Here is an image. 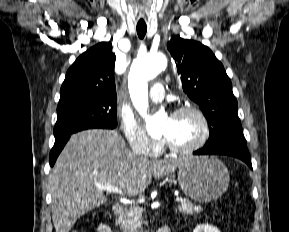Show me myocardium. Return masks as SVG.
<instances>
[{
    "label": "myocardium",
    "mask_w": 289,
    "mask_h": 232,
    "mask_svg": "<svg viewBox=\"0 0 289 232\" xmlns=\"http://www.w3.org/2000/svg\"><path fill=\"white\" fill-rule=\"evenodd\" d=\"M186 112H191L194 113L200 120L201 125H202V134L198 141H196L194 144L189 145V146H184V147H179L174 144H172L168 139L164 138V144L166 148L175 154H189L193 153L200 148H202L208 141L210 137V123L205 115V113L196 105L188 104V105H182L178 108H176L172 114L171 117L178 116L180 114L186 113Z\"/></svg>",
    "instance_id": "obj_1"
}]
</instances>
